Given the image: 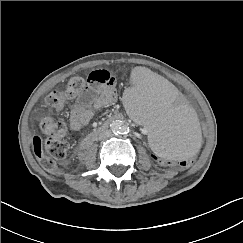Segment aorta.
I'll list each match as a JSON object with an SVG mask.
<instances>
[{
    "mask_svg": "<svg viewBox=\"0 0 243 243\" xmlns=\"http://www.w3.org/2000/svg\"><path fill=\"white\" fill-rule=\"evenodd\" d=\"M111 130L115 134H127L129 132V127L121 120H114L111 123Z\"/></svg>",
    "mask_w": 243,
    "mask_h": 243,
    "instance_id": "1",
    "label": "aorta"
}]
</instances>
